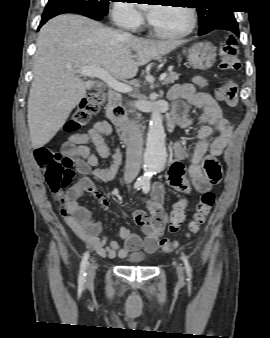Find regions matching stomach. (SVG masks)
Masks as SVG:
<instances>
[{"mask_svg": "<svg viewBox=\"0 0 270 338\" xmlns=\"http://www.w3.org/2000/svg\"><path fill=\"white\" fill-rule=\"evenodd\" d=\"M215 59V48L208 42L195 43L188 51V63L194 69L208 70L213 66Z\"/></svg>", "mask_w": 270, "mask_h": 338, "instance_id": "stomach-1", "label": "stomach"}]
</instances>
